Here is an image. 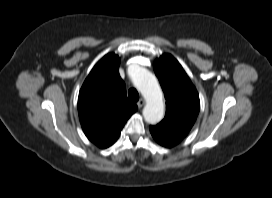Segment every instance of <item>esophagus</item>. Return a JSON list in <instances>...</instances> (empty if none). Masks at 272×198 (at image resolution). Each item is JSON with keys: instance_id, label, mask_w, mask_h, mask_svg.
Returning a JSON list of instances; mask_svg holds the SVG:
<instances>
[{"instance_id": "1", "label": "esophagus", "mask_w": 272, "mask_h": 198, "mask_svg": "<svg viewBox=\"0 0 272 198\" xmlns=\"http://www.w3.org/2000/svg\"><path fill=\"white\" fill-rule=\"evenodd\" d=\"M144 104H145L144 99H140V100L137 102V106H138L139 108H142V107L144 106Z\"/></svg>"}]
</instances>
